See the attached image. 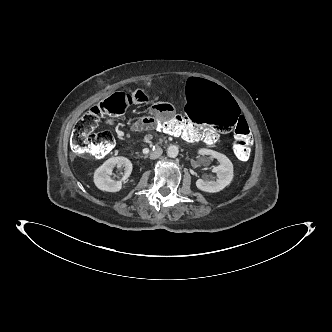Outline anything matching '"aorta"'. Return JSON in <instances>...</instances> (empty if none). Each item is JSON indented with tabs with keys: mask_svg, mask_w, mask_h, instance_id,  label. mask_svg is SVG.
I'll use <instances>...</instances> for the list:
<instances>
[{
	"mask_svg": "<svg viewBox=\"0 0 332 332\" xmlns=\"http://www.w3.org/2000/svg\"><path fill=\"white\" fill-rule=\"evenodd\" d=\"M179 149L176 145H171L167 149V155L171 158H175L178 156Z\"/></svg>",
	"mask_w": 332,
	"mask_h": 332,
	"instance_id": "1",
	"label": "aorta"
}]
</instances>
